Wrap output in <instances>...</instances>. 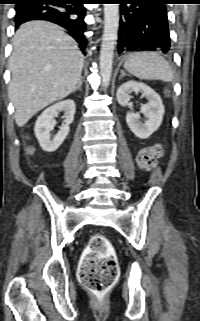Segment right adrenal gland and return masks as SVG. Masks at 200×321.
I'll list each match as a JSON object with an SVG mask.
<instances>
[{
	"label": "right adrenal gland",
	"mask_w": 200,
	"mask_h": 321,
	"mask_svg": "<svg viewBox=\"0 0 200 321\" xmlns=\"http://www.w3.org/2000/svg\"><path fill=\"white\" fill-rule=\"evenodd\" d=\"M82 83H83V79H80L77 87L73 90V92H76L77 90L82 91V88H81L82 87Z\"/></svg>",
	"instance_id": "1"
}]
</instances>
